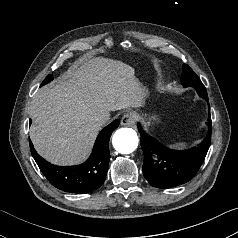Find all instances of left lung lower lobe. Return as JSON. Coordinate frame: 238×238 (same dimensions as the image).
<instances>
[{
	"label": "left lung lower lobe",
	"mask_w": 238,
	"mask_h": 238,
	"mask_svg": "<svg viewBox=\"0 0 238 238\" xmlns=\"http://www.w3.org/2000/svg\"><path fill=\"white\" fill-rule=\"evenodd\" d=\"M208 125H211V119ZM145 154L143 173L157 188H172L191 180L201 167L211 143V133L197 146L187 150L166 147L137 124Z\"/></svg>",
	"instance_id": "1"
}]
</instances>
